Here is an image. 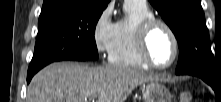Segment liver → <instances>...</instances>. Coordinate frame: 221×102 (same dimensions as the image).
Returning <instances> with one entry per match:
<instances>
[{
	"label": "liver",
	"mask_w": 221,
	"mask_h": 102,
	"mask_svg": "<svg viewBox=\"0 0 221 102\" xmlns=\"http://www.w3.org/2000/svg\"><path fill=\"white\" fill-rule=\"evenodd\" d=\"M156 77L127 66L88 67L53 63L39 71L27 89L26 102H125L139 85Z\"/></svg>",
	"instance_id": "obj_1"
}]
</instances>
